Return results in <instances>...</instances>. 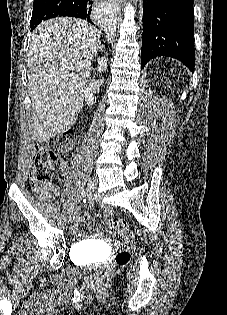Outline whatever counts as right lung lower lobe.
<instances>
[{
	"mask_svg": "<svg viewBox=\"0 0 227 315\" xmlns=\"http://www.w3.org/2000/svg\"><path fill=\"white\" fill-rule=\"evenodd\" d=\"M91 8H92V1L75 0L72 6L63 8L61 12L57 14V16L76 17V18L87 20L90 23H93L90 19Z\"/></svg>",
	"mask_w": 227,
	"mask_h": 315,
	"instance_id": "98d812e1",
	"label": "right lung lower lobe"
}]
</instances>
